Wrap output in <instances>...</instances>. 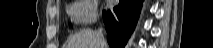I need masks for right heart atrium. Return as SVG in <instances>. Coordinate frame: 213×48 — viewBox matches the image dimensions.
Returning a JSON list of instances; mask_svg holds the SVG:
<instances>
[{
  "label": "right heart atrium",
  "mask_w": 213,
  "mask_h": 48,
  "mask_svg": "<svg viewBox=\"0 0 213 48\" xmlns=\"http://www.w3.org/2000/svg\"><path fill=\"white\" fill-rule=\"evenodd\" d=\"M68 13L75 24L90 25L97 18V2L95 0L75 1L70 5Z\"/></svg>",
  "instance_id": "right-heart-atrium-1"
}]
</instances>
